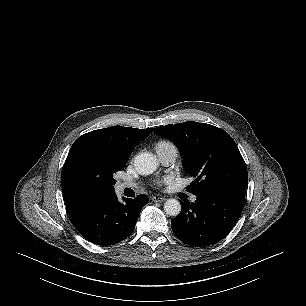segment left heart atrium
<instances>
[{
  "label": "left heart atrium",
  "instance_id": "39dd6f15",
  "mask_svg": "<svg viewBox=\"0 0 306 306\" xmlns=\"http://www.w3.org/2000/svg\"><path fill=\"white\" fill-rule=\"evenodd\" d=\"M169 181H170V177H166V178H164L162 180L156 181V184L160 186L162 184L168 183Z\"/></svg>",
  "mask_w": 306,
  "mask_h": 306
}]
</instances>
